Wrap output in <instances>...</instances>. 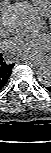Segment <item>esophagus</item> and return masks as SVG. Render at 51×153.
I'll return each mask as SVG.
<instances>
[{
	"label": "esophagus",
	"mask_w": 51,
	"mask_h": 153,
	"mask_svg": "<svg viewBox=\"0 0 51 153\" xmlns=\"http://www.w3.org/2000/svg\"><path fill=\"white\" fill-rule=\"evenodd\" d=\"M24 62H26L27 64H29L31 66H34V67H39L40 66L39 63H36V62H33V61L24 60Z\"/></svg>",
	"instance_id": "esophagus-1"
}]
</instances>
